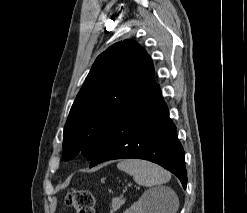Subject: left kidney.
Wrapping results in <instances>:
<instances>
[{
  "mask_svg": "<svg viewBox=\"0 0 247 213\" xmlns=\"http://www.w3.org/2000/svg\"><path fill=\"white\" fill-rule=\"evenodd\" d=\"M159 197L157 193L148 190L142 194L140 199L123 213H160Z\"/></svg>",
  "mask_w": 247,
  "mask_h": 213,
  "instance_id": "obj_1",
  "label": "left kidney"
}]
</instances>
